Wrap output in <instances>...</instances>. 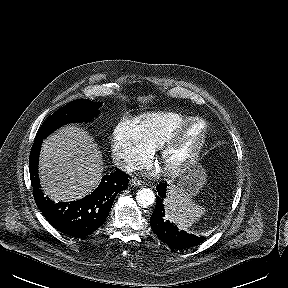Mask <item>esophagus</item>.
I'll use <instances>...</instances> for the list:
<instances>
[{"label": "esophagus", "instance_id": "obj_1", "mask_svg": "<svg viewBox=\"0 0 288 288\" xmlns=\"http://www.w3.org/2000/svg\"><path fill=\"white\" fill-rule=\"evenodd\" d=\"M142 184V181L141 180H138L136 178H132L130 180V186H133V187H138Z\"/></svg>", "mask_w": 288, "mask_h": 288}]
</instances>
